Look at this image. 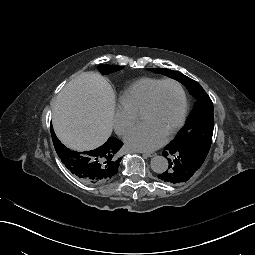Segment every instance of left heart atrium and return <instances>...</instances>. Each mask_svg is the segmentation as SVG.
I'll list each match as a JSON object with an SVG mask.
<instances>
[{"label": "left heart atrium", "instance_id": "39dd6f15", "mask_svg": "<svg viewBox=\"0 0 255 255\" xmlns=\"http://www.w3.org/2000/svg\"><path fill=\"white\" fill-rule=\"evenodd\" d=\"M125 141L132 149L147 151L160 147L164 143V138L147 124L141 123L129 130Z\"/></svg>", "mask_w": 255, "mask_h": 255}]
</instances>
